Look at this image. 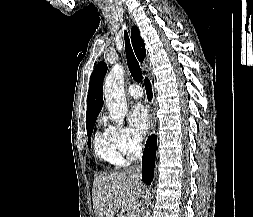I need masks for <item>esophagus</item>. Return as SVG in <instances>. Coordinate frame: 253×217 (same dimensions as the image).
<instances>
[{
  "label": "esophagus",
  "mask_w": 253,
  "mask_h": 217,
  "mask_svg": "<svg viewBox=\"0 0 253 217\" xmlns=\"http://www.w3.org/2000/svg\"><path fill=\"white\" fill-rule=\"evenodd\" d=\"M150 111V117H151V123H152V129L155 128L156 125V117H155V112L154 109L152 107L149 108Z\"/></svg>",
  "instance_id": "1"
}]
</instances>
